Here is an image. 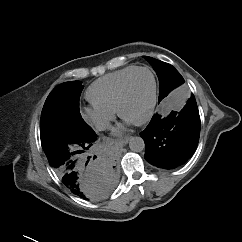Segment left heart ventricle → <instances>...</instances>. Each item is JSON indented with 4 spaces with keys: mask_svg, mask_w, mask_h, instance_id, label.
Returning <instances> with one entry per match:
<instances>
[{
    "mask_svg": "<svg viewBox=\"0 0 242 242\" xmlns=\"http://www.w3.org/2000/svg\"><path fill=\"white\" fill-rule=\"evenodd\" d=\"M153 91L151 75L146 71L136 73L128 87L127 96L122 106L125 119L135 122L147 112Z\"/></svg>",
    "mask_w": 242,
    "mask_h": 242,
    "instance_id": "1",
    "label": "left heart ventricle"
}]
</instances>
